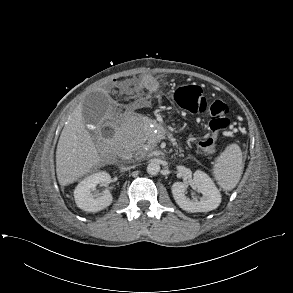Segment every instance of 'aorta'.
<instances>
[{
    "label": "aorta",
    "instance_id": "1",
    "mask_svg": "<svg viewBox=\"0 0 293 293\" xmlns=\"http://www.w3.org/2000/svg\"><path fill=\"white\" fill-rule=\"evenodd\" d=\"M160 172V165L156 161H152L147 165V173L150 175H157Z\"/></svg>",
    "mask_w": 293,
    "mask_h": 293
}]
</instances>
